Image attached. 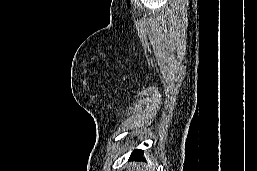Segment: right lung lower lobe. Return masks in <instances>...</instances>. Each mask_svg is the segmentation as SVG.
Here are the masks:
<instances>
[{"label": "right lung lower lobe", "instance_id": "98d812e1", "mask_svg": "<svg viewBox=\"0 0 257 171\" xmlns=\"http://www.w3.org/2000/svg\"><path fill=\"white\" fill-rule=\"evenodd\" d=\"M143 151L142 150H135L132 154L130 159H135V160H144L142 157Z\"/></svg>", "mask_w": 257, "mask_h": 171}]
</instances>
